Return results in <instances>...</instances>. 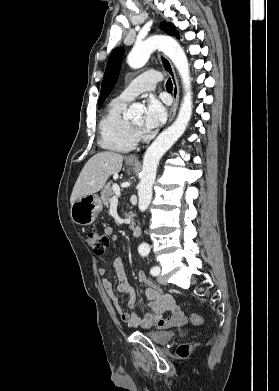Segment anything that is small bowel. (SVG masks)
Segmentation results:
<instances>
[{"mask_svg": "<svg viewBox=\"0 0 279 391\" xmlns=\"http://www.w3.org/2000/svg\"><path fill=\"white\" fill-rule=\"evenodd\" d=\"M105 234L113 240L116 238L112 227H107ZM113 267L117 276V285L113 287L110 279L107 277L102 279V284L120 319L125 324L129 327L165 329L182 326L186 323L184 312L175 299L168 294L162 293L158 287L146 278L144 273H139L138 278L141 283L147 285L145 297L148 300V309L132 313L123 311L118 293L126 295L128 297L127 306L133 308L136 301L135 292L128 283L121 258L114 260ZM106 272V268L99 269L101 275H104Z\"/></svg>", "mask_w": 279, "mask_h": 391, "instance_id": "1", "label": "small bowel"}]
</instances>
